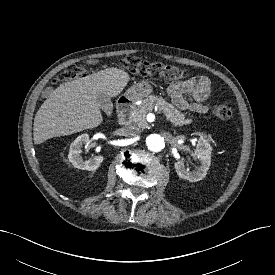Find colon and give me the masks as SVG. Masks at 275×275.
Wrapping results in <instances>:
<instances>
[{
    "label": "colon",
    "instance_id": "5ec220e1",
    "mask_svg": "<svg viewBox=\"0 0 275 275\" xmlns=\"http://www.w3.org/2000/svg\"><path fill=\"white\" fill-rule=\"evenodd\" d=\"M121 64L128 71L147 76L153 79H163L168 82H175L186 78L189 72L174 65H167L159 62H148L136 56H125ZM86 70L79 65L67 67L59 76L58 80L68 82L85 76ZM213 114L222 120H228L232 117V107L228 103H221L213 108Z\"/></svg>",
    "mask_w": 275,
    "mask_h": 275
}]
</instances>
